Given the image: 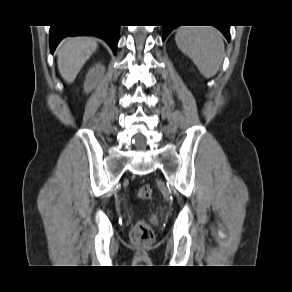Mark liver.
I'll list each match as a JSON object with an SVG mask.
<instances>
[{
  "label": "liver",
  "mask_w": 292,
  "mask_h": 292,
  "mask_svg": "<svg viewBox=\"0 0 292 292\" xmlns=\"http://www.w3.org/2000/svg\"><path fill=\"white\" fill-rule=\"evenodd\" d=\"M97 42L91 37H69L58 46V69L67 83H72L85 62L97 50Z\"/></svg>",
  "instance_id": "liver-1"
}]
</instances>
